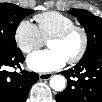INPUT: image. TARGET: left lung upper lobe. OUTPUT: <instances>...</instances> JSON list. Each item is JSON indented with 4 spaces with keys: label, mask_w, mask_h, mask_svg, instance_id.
Here are the masks:
<instances>
[{
    "label": "left lung upper lobe",
    "mask_w": 102,
    "mask_h": 102,
    "mask_svg": "<svg viewBox=\"0 0 102 102\" xmlns=\"http://www.w3.org/2000/svg\"><path fill=\"white\" fill-rule=\"evenodd\" d=\"M69 13L78 18L87 34L88 45L83 57L102 53V19L82 9H71Z\"/></svg>",
    "instance_id": "5c2ea615"
}]
</instances>
